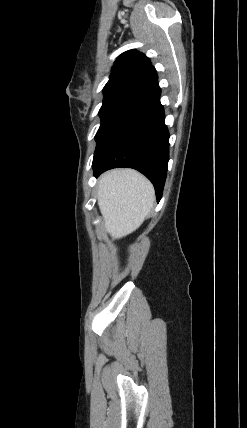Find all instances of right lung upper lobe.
<instances>
[{
  "label": "right lung upper lobe",
  "mask_w": 247,
  "mask_h": 428,
  "mask_svg": "<svg viewBox=\"0 0 247 428\" xmlns=\"http://www.w3.org/2000/svg\"><path fill=\"white\" fill-rule=\"evenodd\" d=\"M157 79L150 60L143 53L129 50L116 60L103 92L130 91L141 94L154 86Z\"/></svg>",
  "instance_id": "obj_1"
}]
</instances>
